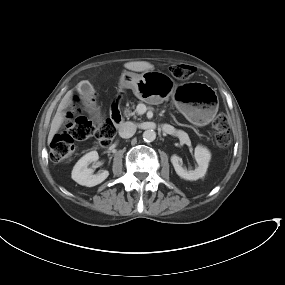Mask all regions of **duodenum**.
<instances>
[{"instance_id": "410a0bca", "label": "duodenum", "mask_w": 285, "mask_h": 285, "mask_svg": "<svg viewBox=\"0 0 285 285\" xmlns=\"http://www.w3.org/2000/svg\"><path fill=\"white\" fill-rule=\"evenodd\" d=\"M120 101H121V95L118 94L114 102L112 103L111 110H110V117L112 122H114L117 126H119L122 121V112H121V106H120Z\"/></svg>"}]
</instances>
